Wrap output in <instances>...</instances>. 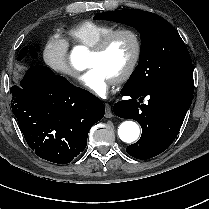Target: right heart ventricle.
I'll use <instances>...</instances> for the list:
<instances>
[{"mask_svg": "<svg viewBox=\"0 0 209 209\" xmlns=\"http://www.w3.org/2000/svg\"><path fill=\"white\" fill-rule=\"evenodd\" d=\"M114 29L110 23L85 20L68 27L65 35L73 44L91 48Z\"/></svg>", "mask_w": 209, "mask_h": 209, "instance_id": "1", "label": "right heart ventricle"}]
</instances>
